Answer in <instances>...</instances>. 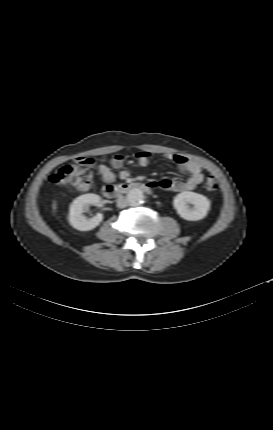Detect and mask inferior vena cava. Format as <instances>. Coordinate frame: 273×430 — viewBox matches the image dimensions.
I'll list each match as a JSON object with an SVG mask.
<instances>
[{"instance_id":"obj_1","label":"inferior vena cava","mask_w":273,"mask_h":430,"mask_svg":"<svg viewBox=\"0 0 273 430\" xmlns=\"http://www.w3.org/2000/svg\"><path fill=\"white\" fill-rule=\"evenodd\" d=\"M117 206L119 208H125L127 206V200L121 196L117 199Z\"/></svg>"}]
</instances>
